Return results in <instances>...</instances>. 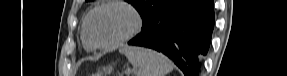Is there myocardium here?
<instances>
[{
  "label": "myocardium",
  "mask_w": 287,
  "mask_h": 76,
  "mask_svg": "<svg viewBox=\"0 0 287 76\" xmlns=\"http://www.w3.org/2000/svg\"><path fill=\"white\" fill-rule=\"evenodd\" d=\"M108 7H120V8L125 9L126 11H128L133 18V24L126 33H124L122 36H120L116 40H114L110 43L101 44V43L95 42L91 38L90 30H89L90 20L96 12H98L102 9L108 8ZM142 25H143V18L141 16L140 12L132 4H130L129 2L123 1V0H111V1L104 2V3L94 7L88 13V15L86 16L85 21H84L83 31H84V35H85L86 40L92 46V48L107 50V49L116 48L119 45L123 44L124 42H127L128 40L133 38L141 30Z\"/></svg>",
  "instance_id": "obj_1"
}]
</instances>
